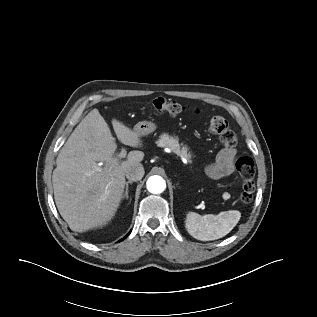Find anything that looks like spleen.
I'll list each match as a JSON object with an SVG mask.
<instances>
[{
	"label": "spleen",
	"mask_w": 317,
	"mask_h": 317,
	"mask_svg": "<svg viewBox=\"0 0 317 317\" xmlns=\"http://www.w3.org/2000/svg\"><path fill=\"white\" fill-rule=\"evenodd\" d=\"M240 217L241 213L237 210L223 211L217 215L188 212L185 227L194 238L211 241L227 235L237 225Z\"/></svg>",
	"instance_id": "spleen-1"
}]
</instances>
